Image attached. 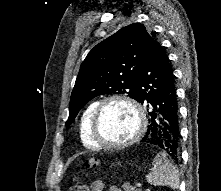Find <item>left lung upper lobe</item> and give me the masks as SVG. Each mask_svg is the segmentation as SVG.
Wrapping results in <instances>:
<instances>
[{
    "label": "left lung upper lobe",
    "instance_id": "obj_1",
    "mask_svg": "<svg viewBox=\"0 0 221 191\" xmlns=\"http://www.w3.org/2000/svg\"><path fill=\"white\" fill-rule=\"evenodd\" d=\"M152 40L142 24L134 23L97 44L81 64L65 125L96 96L127 94L137 100L138 77Z\"/></svg>",
    "mask_w": 221,
    "mask_h": 191
}]
</instances>
